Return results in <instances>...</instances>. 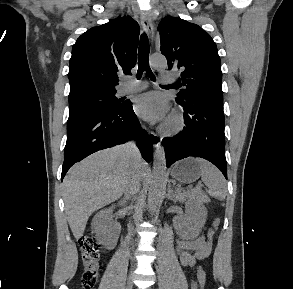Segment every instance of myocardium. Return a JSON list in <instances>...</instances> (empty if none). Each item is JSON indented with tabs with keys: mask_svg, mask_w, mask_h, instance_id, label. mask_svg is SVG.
<instances>
[{
	"mask_svg": "<svg viewBox=\"0 0 293 289\" xmlns=\"http://www.w3.org/2000/svg\"><path fill=\"white\" fill-rule=\"evenodd\" d=\"M185 126V120L180 112L173 113L162 127V132L167 135L180 133Z\"/></svg>",
	"mask_w": 293,
	"mask_h": 289,
	"instance_id": "myocardium-1",
	"label": "myocardium"
}]
</instances>
